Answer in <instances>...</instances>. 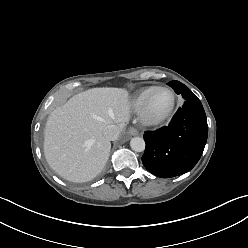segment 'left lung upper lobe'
I'll list each match as a JSON object with an SVG mask.
<instances>
[{
  "mask_svg": "<svg viewBox=\"0 0 248 248\" xmlns=\"http://www.w3.org/2000/svg\"><path fill=\"white\" fill-rule=\"evenodd\" d=\"M168 85L170 87H172L174 89V91L177 93V94H182L183 98L185 100H188L192 97H194L195 95L189 90L188 87H186L184 84H182L181 82L179 81H171L168 83Z\"/></svg>",
  "mask_w": 248,
  "mask_h": 248,
  "instance_id": "left-lung-upper-lobe-1",
  "label": "left lung upper lobe"
}]
</instances>
